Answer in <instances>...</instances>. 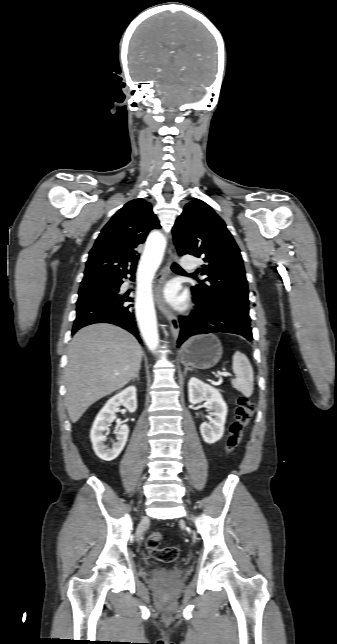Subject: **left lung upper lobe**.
<instances>
[{
    "mask_svg": "<svg viewBox=\"0 0 337 644\" xmlns=\"http://www.w3.org/2000/svg\"><path fill=\"white\" fill-rule=\"evenodd\" d=\"M179 255L204 257L205 280L191 288L203 306L223 308L251 325L248 285L240 250L225 222L201 200L185 205L172 229Z\"/></svg>",
    "mask_w": 337,
    "mask_h": 644,
    "instance_id": "5c2ea615",
    "label": "left lung upper lobe"
}]
</instances>
